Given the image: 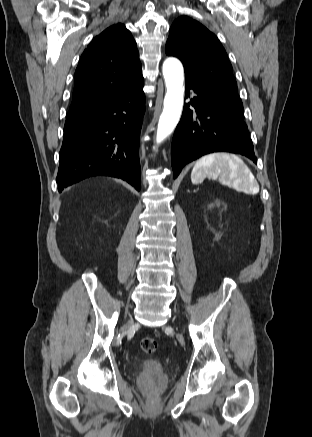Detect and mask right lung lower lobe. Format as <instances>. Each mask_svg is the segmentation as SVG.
<instances>
[{"instance_id":"98d812e1","label":"right lung lower lobe","mask_w":312,"mask_h":437,"mask_svg":"<svg viewBox=\"0 0 312 437\" xmlns=\"http://www.w3.org/2000/svg\"><path fill=\"white\" fill-rule=\"evenodd\" d=\"M143 85L141 76L112 98L66 118L56 178L59 192L96 175L121 178L140 190Z\"/></svg>"}]
</instances>
